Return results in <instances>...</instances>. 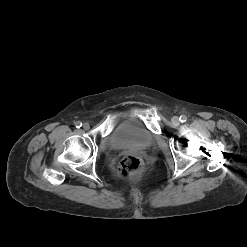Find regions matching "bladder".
<instances>
[{"label":"bladder","mask_w":247,"mask_h":247,"mask_svg":"<svg viewBox=\"0 0 247 247\" xmlns=\"http://www.w3.org/2000/svg\"><path fill=\"white\" fill-rule=\"evenodd\" d=\"M154 141L152 133L136 117L123 120L112 132L110 145L116 149H145Z\"/></svg>","instance_id":"bladder-1"}]
</instances>
